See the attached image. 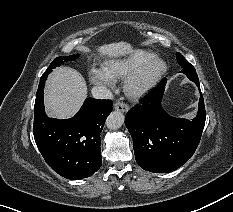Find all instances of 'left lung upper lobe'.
Here are the masks:
<instances>
[{
    "label": "left lung upper lobe",
    "instance_id": "1",
    "mask_svg": "<svg viewBox=\"0 0 233 212\" xmlns=\"http://www.w3.org/2000/svg\"><path fill=\"white\" fill-rule=\"evenodd\" d=\"M176 57L179 65L183 68L182 73H185V71L195 72L194 67L180 53L177 52Z\"/></svg>",
    "mask_w": 233,
    "mask_h": 212
}]
</instances>
